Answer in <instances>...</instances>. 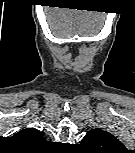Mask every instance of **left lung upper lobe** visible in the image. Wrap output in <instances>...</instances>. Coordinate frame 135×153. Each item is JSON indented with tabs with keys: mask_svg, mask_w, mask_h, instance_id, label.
Masks as SVG:
<instances>
[{
	"mask_svg": "<svg viewBox=\"0 0 135 153\" xmlns=\"http://www.w3.org/2000/svg\"><path fill=\"white\" fill-rule=\"evenodd\" d=\"M81 146L95 153H114L125 150L123 144L112 134L98 128L87 132Z\"/></svg>",
	"mask_w": 135,
	"mask_h": 153,
	"instance_id": "5c2ea615",
	"label": "left lung upper lobe"
}]
</instances>
